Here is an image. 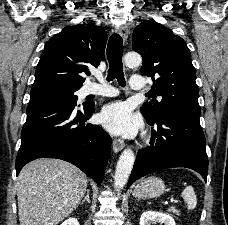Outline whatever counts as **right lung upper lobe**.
<instances>
[{"label": "right lung upper lobe", "instance_id": "right-lung-upper-lobe-1", "mask_svg": "<svg viewBox=\"0 0 228 225\" xmlns=\"http://www.w3.org/2000/svg\"><path fill=\"white\" fill-rule=\"evenodd\" d=\"M106 41V31L94 21L66 26L46 42L33 86L58 83L80 88L85 80L80 73L104 59Z\"/></svg>", "mask_w": 228, "mask_h": 225}]
</instances>
